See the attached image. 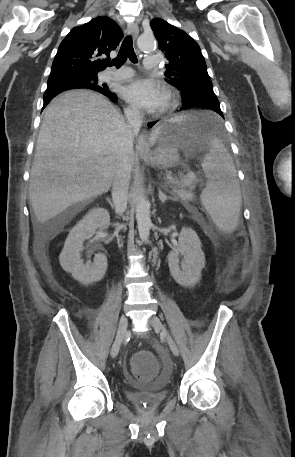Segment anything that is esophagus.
Returning a JSON list of instances; mask_svg holds the SVG:
<instances>
[{"label": "esophagus", "instance_id": "1", "mask_svg": "<svg viewBox=\"0 0 295 457\" xmlns=\"http://www.w3.org/2000/svg\"><path fill=\"white\" fill-rule=\"evenodd\" d=\"M127 33L131 35L134 39L138 37L139 34V27L137 23H131L127 27ZM137 150L142 153H147L149 150L148 147V142H147V135L145 133H142L137 141Z\"/></svg>", "mask_w": 295, "mask_h": 457}]
</instances>
